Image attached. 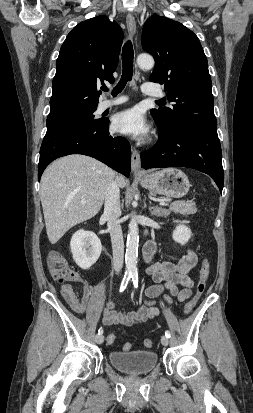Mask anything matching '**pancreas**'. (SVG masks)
Wrapping results in <instances>:
<instances>
[{
  "mask_svg": "<svg viewBox=\"0 0 253 413\" xmlns=\"http://www.w3.org/2000/svg\"><path fill=\"white\" fill-rule=\"evenodd\" d=\"M162 199L166 200L167 198ZM170 212L187 216L189 214H195L197 212V208L194 202L175 201L169 205L167 213L169 214Z\"/></svg>",
  "mask_w": 253,
  "mask_h": 413,
  "instance_id": "pancreas-1",
  "label": "pancreas"
}]
</instances>
